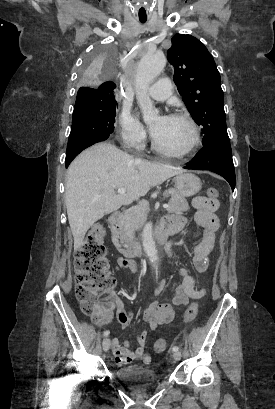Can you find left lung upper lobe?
Masks as SVG:
<instances>
[{"mask_svg": "<svg viewBox=\"0 0 275 409\" xmlns=\"http://www.w3.org/2000/svg\"><path fill=\"white\" fill-rule=\"evenodd\" d=\"M167 58L174 82L192 118L201 125L203 147L229 140L220 74L213 56L191 35L176 34Z\"/></svg>", "mask_w": 275, "mask_h": 409, "instance_id": "5c2ea615", "label": "left lung upper lobe"}]
</instances>
